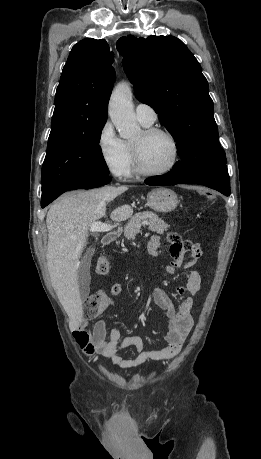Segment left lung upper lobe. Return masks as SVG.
Returning <instances> with one entry per match:
<instances>
[{
	"label": "left lung upper lobe",
	"instance_id": "left-lung-upper-lobe-1",
	"mask_svg": "<svg viewBox=\"0 0 261 459\" xmlns=\"http://www.w3.org/2000/svg\"><path fill=\"white\" fill-rule=\"evenodd\" d=\"M125 42L119 52L137 99L156 111L177 143L181 161L173 169L189 174L226 165L208 83L186 45L173 36L130 37Z\"/></svg>",
	"mask_w": 261,
	"mask_h": 459
}]
</instances>
